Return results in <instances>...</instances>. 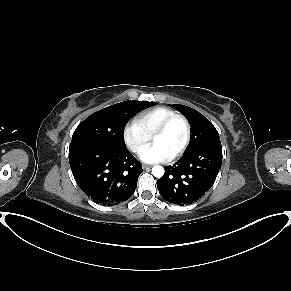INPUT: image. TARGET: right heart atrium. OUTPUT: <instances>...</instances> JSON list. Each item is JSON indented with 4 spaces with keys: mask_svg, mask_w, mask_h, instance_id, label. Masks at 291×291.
I'll list each match as a JSON object with an SVG mask.
<instances>
[{
    "mask_svg": "<svg viewBox=\"0 0 291 291\" xmlns=\"http://www.w3.org/2000/svg\"><path fill=\"white\" fill-rule=\"evenodd\" d=\"M122 137L128 149L134 153L138 152L150 139V135L135 120L124 127Z\"/></svg>",
    "mask_w": 291,
    "mask_h": 291,
    "instance_id": "right-heart-atrium-1",
    "label": "right heart atrium"
}]
</instances>
